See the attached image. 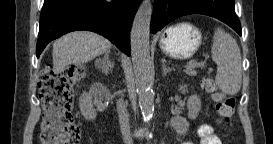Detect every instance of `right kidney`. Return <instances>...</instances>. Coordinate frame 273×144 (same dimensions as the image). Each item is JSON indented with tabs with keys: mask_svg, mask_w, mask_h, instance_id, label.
Instances as JSON below:
<instances>
[{
	"mask_svg": "<svg viewBox=\"0 0 273 144\" xmlns=\"http://www.w3.org/2000/svg\"><path fill=\"white\" fill-rule=\"evenodd\" d=\"M79 107L81 114L86 120H93L96 118V111L93 107L92 97L88 93H83L79 99Z\"/></svg>",
	"mask_w": 273,
	"mask_h": 144,
	"instance_id": "ca27d5eb",
	"label": "right kidney"
}]
</instances>
